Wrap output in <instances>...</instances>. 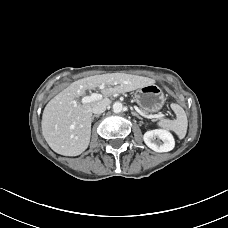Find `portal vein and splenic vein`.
<instances>
[{
  "label": "portal vein and splenic vein",
  "mask_w": 228,
  "mask_h": 228,
  "mask_svg": "<svg viewBox=\"0 0 228 228\" xmlns=\"http://www.w3.org/2000/svg\"><path fill=\"white\" fill-rule=\"evenodd\" d=\"M102 95L101 94H97V93H94V92H91V94L89 96H84L82 99H81V103L82 104H86V103H90L92 101H98V100H101L102 99ZM144 117L146 118H156V117H162L163 115H145L143 113H141Z\"/></svg>",
  "instance_id": "obj_1"
}]
</instances>
